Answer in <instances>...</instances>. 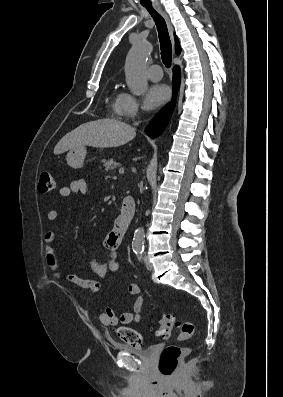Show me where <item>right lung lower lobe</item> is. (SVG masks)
<instances>
[{
  "label": "right lung lower lobe",
  "mask_w": 283,
  "mask_h": 397,
  "mask_svg": "<svg viewBox=\"0 0 283 397\" xmlns=\"http://www.w3.org/2000/svg\"><path fill=\"white\" fill-rule=\"evenodd\" d=\"M179 78H180V71L179 68L174 69V77H173V88H174V97L171 102L164 110L160 112L154 119H153V126H148L145 129L147 135L155 137L158 136L165 126L168 124L169 119L173 113L174 106H175V92L179 86Z\"/></svg>",
  "instance_id": "1"
}]
</instances>
